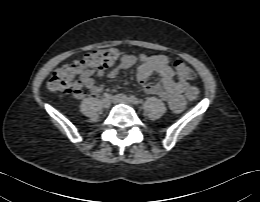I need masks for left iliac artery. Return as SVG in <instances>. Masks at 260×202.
Here are the masks:
<instances>
[{"mask_svg":"<svg viewBox=\"0 0 260 202\" xmlns=\"http://www.w3.org/2000/svg\"><path fill=\"white\" fill-rule=\"evenodd\" d=\"M130 100L133 104H139L140 100L136 98L135 96H130Z\"/></svg>","mask_w":260,"mask_h":202,"instance_id":"obj_1","label":"left iliac artery"}]
</instances>
